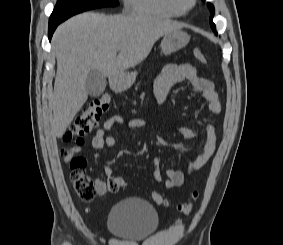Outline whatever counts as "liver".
I'll return each mask as SVG.
<instances>
[{
	"instance_id": "6515ba94",
	"label": "liver",
	"mask_w": 283,
	"mask_h": 245,
	"mask_svg": "<svg viewBox=\"0 0 283 245\" xmlns=\"http://www.w3.org/2000/svg\"><path fill=\"white\" fill-rule=\"evenodd\" d=\"M182 25L149 16L86 12L61 24L53 37L57 73L53 93V133L61 138L88 98L87 75L109 79L141 63L163 35ZM119 54L116 56V53Z\"/></svg>"
}]
</instances>
